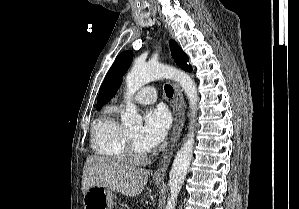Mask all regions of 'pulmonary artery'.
<instances>
[{"mask_svg": "<svg viewBox=\"0 0 299 209\" xmlns=\"http://www.w3.org/2000/svg\"><path fill=\"white\" fill-rule=\"evenodd\" d=\"M131 100L139 104H151L157 100V91L153 86H146L135 92ZM125 101H121L120 106H124Z\"/></svg>", "mask_w": 299, "mask_h": 209, "instance_id": "pulmonary-artery-1", "label": "pulmonary artery"}]
</instances>
